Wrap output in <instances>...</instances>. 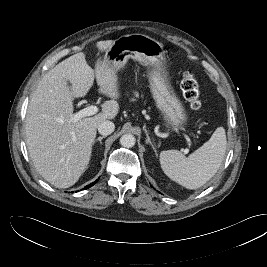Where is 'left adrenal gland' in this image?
Wrapping results in <instances>:
<instances>
[{"label": "left adrenal gland", "mask_w": 267, "mask_h": 267, "mask_svg": "<svg viewBox=\"0 0 267 267\" xmlns=\"http://www.w3.org/2000/svg\"><path fill=\"white\" fill-rule=\"evenodd\" d=\"M143 130L145 131V134H146V138H147V139H146V142H147V144L151 145V147H152V149L154 150L155 154H157V153H156V147L154 146L153 142L151 141V139H150V137H149V134H148V131L146 130L145 127H144Z\"/></svg>", "instance_id": "1"}]
</instances>
